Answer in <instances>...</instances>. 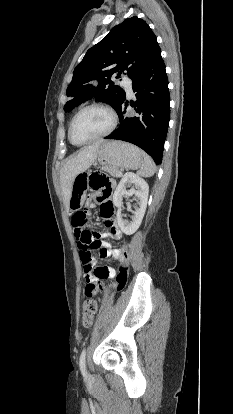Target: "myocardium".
Here are the masks:
<instances>
[{"mask_svg": "<svg viewBox=\"0 0 233 414\" xmlns=\"http://www.w3.org/2000/svg\"><path fill=\"white\" fill-rule=\"evenodd\" d=\"M89 109H99V110L105 112L108 115L109 120H110L109 126L107 127V129L104 132L98 134L97 136H95V137H93L89 140H86V141H83V142H75L73 140V137H72L73 125H74L76 119L78 118V116L81 113H83L84 111L89 110ZM117 125H118V116H117L116 112L111 107H109L107 105H104V104H101V103H91V104L85 105L84 107L79 109L76 112V114L73 116V118L70 122V125H69L68 135H69L70 141L74 145H79V146L80 145H86V144L93 143L95 141H98L100 139H103V138L109 136L116 129Z\"/></svg>", "mask_w": 233, "mask_h": 414, "instance_id": "myocardium-1", "label": "myocardium"}]
</instances>
